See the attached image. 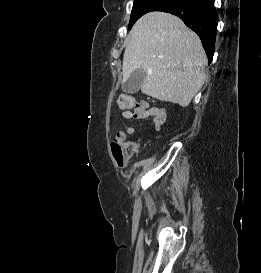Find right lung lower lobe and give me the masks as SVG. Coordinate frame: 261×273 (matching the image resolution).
Wrapping results in <instances>:
<instances>
[{
  "label": "right lung lower lobe",
  "mask_w": 261,
  "mask_h": 273,
  "mask_svg": "<svg viewBox=\"0 0 261 273\" xmlns=\"http://www.w3.org/2000/svg\"><path fill=\"white\" fill-rule=\"evenodd\" d=\"M165 2L164 8L160 11L178 16L196 32L211 62L218 23L214 0H166Z\"/></svg>",
  "instance_id": "right-lung-lower-lobe-1"
}]
</instances>
